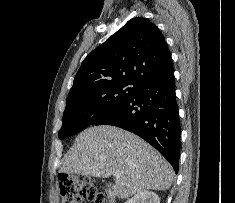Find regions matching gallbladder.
Wrapping results in <instances>:
<instances>
[{
  "label": "gallbladder",
  "instance_id": "bac80fb5",
  "mask_svg": "<svg viewBox=\"0 0 235 203\" xmlns=\"http://www.w3.org/2000/svg\"><path fill=\"white\" fill-rule=\"evenodd\" d=\"M106 185H107L108 187H111V184H110V183H106Z\"/></svg>",
  "mask_w": 235,
  "mask_h": 203
}]
</instances>
